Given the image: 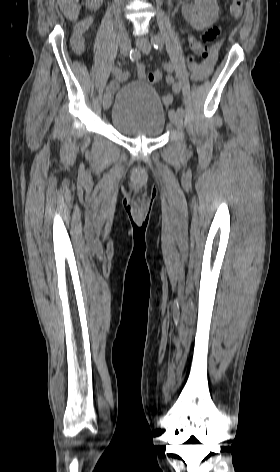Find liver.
<instances>
[{
	"label": "liver",
	"mask_w": 280,
	"mask_h": 472,
	"mask_svg": "<svg viewBox=\"0 0 280 472\" xmlns=\"http://www.w3.org/2000/svg\"><path fill=\"white\" fill-rule=\"evenodd\" d=\"M57 3L67 19L77 21L80 13L79 0H57Z\"/></svg>",
	"instance_id": "obj_1"
}]
</instances>
